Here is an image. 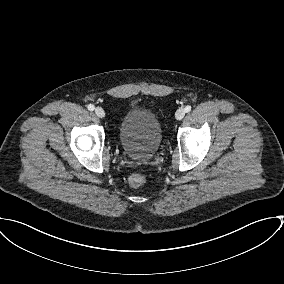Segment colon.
<instances>
[{"mask_svg": "<svg viewBox=\"0 0 284 284\" xmlns=\"http://www.w3.org/2000/svg\"><path fill=\"white\" fill-rule=\"evenodd\" d=\"M146 181V177L143 174L135 173L129 177V183L132 187L137 188L142 186Z\"/></svg>", "mask_w": 284, "mask_h": 284, "instance_id": "obj_1", "label": "colon"}]
</instances>
